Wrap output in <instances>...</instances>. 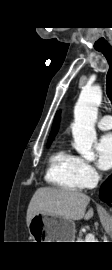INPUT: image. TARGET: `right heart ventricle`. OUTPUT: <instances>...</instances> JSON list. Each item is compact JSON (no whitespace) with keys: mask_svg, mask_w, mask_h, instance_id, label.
I'll use <instances>...</instances> for the list:
<instances>
[{"mask_svg":"<svg viewBox=\"0 0 112 270\" xmlns=\"http://www.w3.org/2000/svg\"><path fill=\"white\" fill-rule=\"evenodd\" d=\"M45 178L48 183L64 190L79 191L83 188L78 175V158L64 147L51 154Z\"/></svg>","mask_w":112,"mask_h":270,"instance_id":"1","label":"right heart ventricle"}]
</instances>
